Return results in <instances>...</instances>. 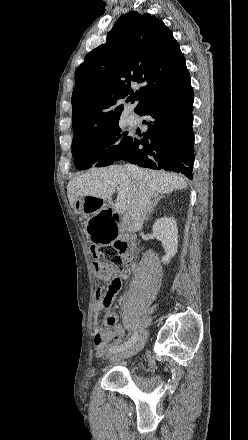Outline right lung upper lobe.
Segmentation results:
<instances>
[{"mask_svg":"<svg viewBox=\"0 0 248 440\" xmlns=\"http://www.w3.org/2000/svg\"><path fill=\"white\" fill-rule=\"evenodd\" d=\"M189 73L179 45L168 27L155 16L136 11L122 15L107 41L85 57L75 73L72 93L74 136L119 122V100L136 91L138 108L147 100L173 90Z\"/></svg>","mask_w":248,"mask_h":440,"instance_id":"cb5924a9","label":"right lung upper lobe"}]
</instances>
